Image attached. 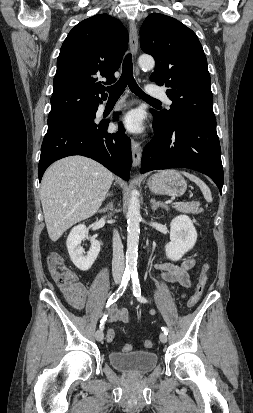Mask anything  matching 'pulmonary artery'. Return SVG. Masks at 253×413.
<instances>
[{"instance_id": "pulmonary-artery-1", "label": "pulmonary artery", "mask_w": 253, "mask_h": 413, "mask_svg": "<svg viewBox=\"0 0 253 413\" xmlns=\"http://www.w3.org/2000/svg\"><path fill=\"white\" fill-rule=\"evenodd\" d=\"M146 90H147V93L150 96L160 98V99L164 100L165 103L168 104V105L171 104V100L168 98V96L166 95L165 91L162 88L156 87V86H148ZM104 107H105V105L102 104L100 106V110L104 109Z\"/></svg>"}]
</instances>
